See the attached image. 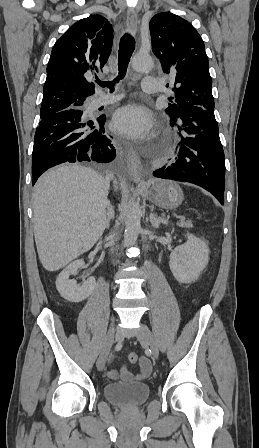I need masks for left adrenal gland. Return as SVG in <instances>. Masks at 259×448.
<instances>
[{
  "label": "left adrenal gland",
  "mask_w": 259,
  "mask_h": 448,
  "mask_svg": "<svg viewBox=\"0 0 259 448\" xmlns=\"http://www.w3.org/2000/svg\"><path fill=\"white\" fill-rule=\"evenodd\" d=\"M150 222L153 228H159L160 224H165V226L168 224V220H165V218H160V216H156L153 212L150 214Z\"/></svg>",
  "instance_id": "left-adrenal-gland-1"
}]
</instances>
